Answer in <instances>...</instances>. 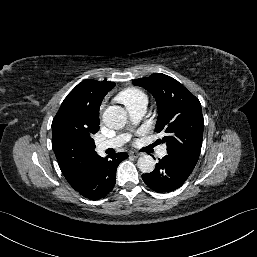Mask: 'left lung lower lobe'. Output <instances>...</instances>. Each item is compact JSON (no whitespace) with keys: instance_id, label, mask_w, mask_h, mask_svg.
I'll list each match as a JSON object with an SVG mask.
<instances>
[{"instance_id":"obj_1","label":"left lung lower lobe","mask_w":257,"mask_h":257,"mask_svg":"<svg viewBox=\"0 0 257 257\" xmlns=\"http://www.w3.org/2000/svg\"><path fill=\"white\" fill-rule=\"evenodd\" d=\"M195 165L187 160L168 154L159 160L153 172L143 174L147 186L156 192H171L183 185Z\"/></svg>"}]
</instances>
